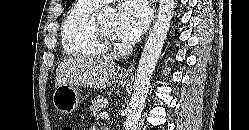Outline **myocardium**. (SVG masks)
Returning <instances> with one entry per match:
<instances>
[{
  "mask_svg": "<svg viewBox=\"0 0 249 130\" xmlns=\"http://www.w3.org/2000/svg\"><path fill=\"white\" fill-rule=\"evenodd\" d=\"M96 32L100 44L106 52H117L120 47L116 36L109 34L104 30L100 23L96 22Z\"/></svg>",
  "mask_w": 249,
  "mask_h": 130,
  "instance_id": "1",
  "label": "myocardium"
}]
</instances>
